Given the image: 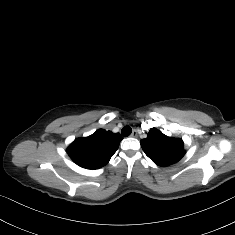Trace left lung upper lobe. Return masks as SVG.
I'll use <instances>...</instances> for the list:
<instances>
[{"mask_svg": "<svg viewBox=\"0 0 235 235\" xmlns=\"http://www.w3.org/2000/svg\"><path fill=\"white\" fill-rule=\"evenodd\" d=\"M182 139L164 135L152 128L147 138L141 140L145 154L158 166H169L178 162L185 154Z\"/></svg>", "mask_w": 235, "mask_h": 235, "instance_id": "1", "label": "left lung upper lobe"}]
</instances>
